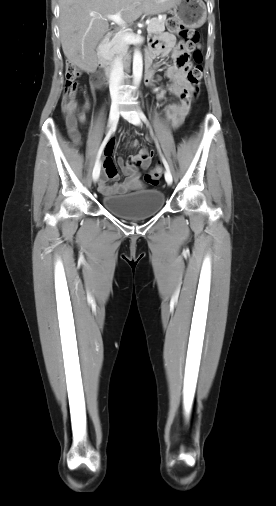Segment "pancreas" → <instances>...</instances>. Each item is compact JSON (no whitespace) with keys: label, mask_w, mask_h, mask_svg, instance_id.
Here are the masks:
<instances>
[{"label":"pancreas","mask_w":276,"mask_h":506,"mask_svg":"<svg viewBox=\"0 0 276 506\" xmlns=\"http://www.w3.org/2000/svg\"><path fill=\"white\" fill-rule=\"evenodd\" d=\"M165 20L164 19H158L153 18L151 19L147 31L149 34L152 33H160L165 30L164 26ZM127 45H121L118 43V38L115 37L111 42H109L107 46V55L110 58H113L116 54L121 53L122 55H125L127 52Z\"/></svg>","instance_id":"pancreas-1"}]
</instances>
